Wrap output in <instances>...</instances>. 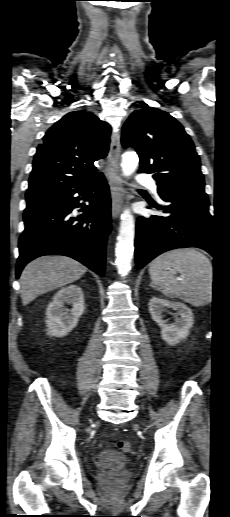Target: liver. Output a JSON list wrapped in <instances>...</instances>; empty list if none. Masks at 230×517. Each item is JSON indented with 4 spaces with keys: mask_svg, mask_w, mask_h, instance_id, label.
Instances as JSON below:
<instances>
[{
    "mask_svg": "<svg viewBox=\"0 0 230 517\" xmlns=\"http://www.w3.org/2000/svg\"><path fill=\"white\" fill-rule=\"evenodd\" d=\"M87 268L66 256H42L28 263L20 276L22 304L28 305L39 295L80 279Z\"/></svg>",
    "mask_w": 230,
    "mask_h": 517,
    "instance_id": "liver-1",
    "label": "liver"
}]
</instances>
